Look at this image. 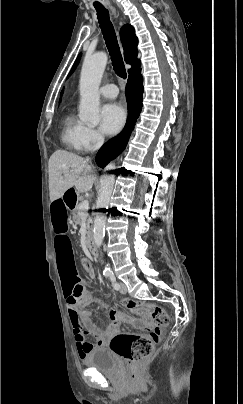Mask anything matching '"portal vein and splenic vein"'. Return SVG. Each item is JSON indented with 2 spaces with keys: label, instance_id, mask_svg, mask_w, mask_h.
<instances>
[{
  "label": "portal vein and splenic vein",
  "instance_id": "portal-vein-and-splenic-vein-1",
  "mask_svg": "<svg viewBox=\"0 0 243 404\" xmlns=\"http://www.w3.org/2000/svg\"><path fill=\"white\" fill-rule=\"evenodd\" d=\"M87 210H89V202L88 200H84V202H82L80 206V211L78 212V215L87 218L88 217V214L86 213Z\"/></svg>",
  "mask_w": 243,
  "mask_h": 404
}]
</instances>
